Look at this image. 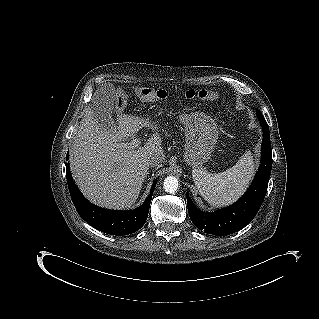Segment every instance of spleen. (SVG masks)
<instances>
[{"instance_id":"spleen-1","label":"spleen","mask_w":319,"mask_h":319,"mask_svg":"<svg viewBox=\"0 0 319 319\" xmlns=\"http://www.w3.org/2000/svg\"><path fill=\"white\" fill-rule=\"evenodd\" d=\"M253 157L247 151L231 168L221 173H209L195 168L192 177L201 196L213 206H224L237 200L254 174Z\"/></svg>"}]
</instances>
